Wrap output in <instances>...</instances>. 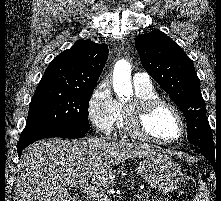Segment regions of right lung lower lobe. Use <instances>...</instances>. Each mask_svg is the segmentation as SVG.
I'll return each instance as SVG.
<instances>
[{"label": "right lung lower lobe", "instance_id": "98d812e1", "mask_svg": "<svg viewBox=\"0 0 221 201\" xmlns=\"http://www.w3.org/2000/svg\"><path fill=\"white\" fill-rule=\"evenodd\" d=\"M84 131L61 126H46L39 127L32 130H24L20 136L17 144L18 156H21L22 150L31 143L49 137H63V138H81L84 137Z\"/></svg>", "mask_w": 221, "mask_h": 201}]
</instances>
